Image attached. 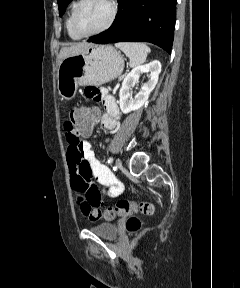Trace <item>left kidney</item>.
Here are the masks:
<instances>
[{
    "instance_id": "1",
    "label": "left kidney",
    "mask_w": 240,
    "mask_h": 288,
    "mask_svg": "<svg viewBox=\"0 0 240 288\" xmlns=\"http://www.w3.org/2000/svg\"><path fill=\"white\" fill-rule=\"evenodd\" d=\"M160 72L161 63L154 60L148 64L135 67L125 77L119 91V105L124 114L140 109L147 102L150 93L158 82ZM142 73L149 74V80L142 85L140 92L133 98L130 91L131 87L139 82Z\"/></svg>"
}]
</instances>
